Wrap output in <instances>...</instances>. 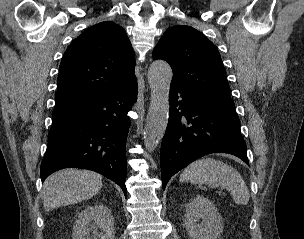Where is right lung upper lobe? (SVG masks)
Segmentation results:
<instances>
[{
  "instance_id": "right-lung-upper-lobe-1",
  "label": "right lung upper lobe",
  "mask_w": 304,
  "mask_h": 239,
  "mask_svg": "<svg viewBox=\"0 0 304 239\" xmlns=\"http://www.w3.org/2000/svg\"><path fill=\"white\" fill-rule=\"evenodd\" d=\"M134 51L112 21L95 24L67 48L60 64L52 115L75 109L136 78Z\"/></svg>"
}]
</instances>
